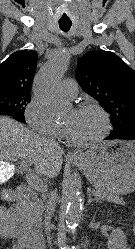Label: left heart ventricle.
Segmentation results:
<instances>
[{
    "instance_id": "1",
    "label": "left heart ventricle",
    "mask_w": 135,
    "mask_h": 249,
    "mask_svg": "<svg viewBox=\"0 0 135 249\" xmlns=\"http://www.w3.org/2000/svg\"><path fill=\"white\" fill-rule=\"evenodd\" d=\"M64 126L75 140L84 142L97 137L103 131L104 122L101 114L94 109H73L67 115Z\"/></svg>"
}]
</instances>
